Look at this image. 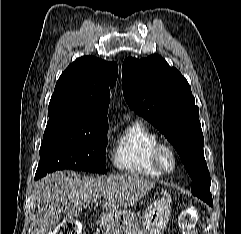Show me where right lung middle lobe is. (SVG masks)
Segmentation results:
<instances>
[{
  "mask_svg": "<svg viewBox=\"0 0 241 234\" xmlns=\"http://www.w3.org/2000/svg\"><path fill=\"white\" fill-rule=\"evenodd\" d=\"M48 116L35 176L62 169L107 172L104 154L108 125L81 122L65 110L48 111Z\"/></svg>",
  "mask_w": 241,
  "mask_h": 234,
  "instance_id": "1",
  "label": "right lung middle lobe"
}]
</instances>
